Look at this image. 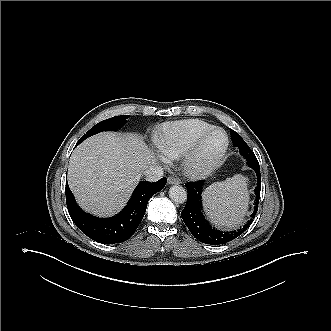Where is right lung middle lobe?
Wrapping results in <instances>:
<instances>
[{"instance_id": "dd1d6c3e", "label": "right lung middle lobe", "mask_w": 331, "mask_h": 331, "mask_svg": "<svg viewBox=\"0 0 331 331\" xmlns=\"http://www.w3.org/2000/svg\"><path fill=\"white\" fill-rule=\"evenodd\" d=\"M128 117L129 115L115 116L96 124L79 140V142L81 143L86 138L102 131L118 130L127 122Z\"/></svg>"}]
</instances>
